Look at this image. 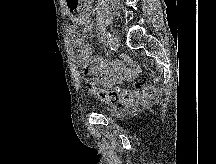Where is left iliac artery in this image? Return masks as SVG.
I'll use <instances>...</instances> for the list:
<instances>
[{"instance_id": "1", "label": "left iliac artery", "mask_w": 216, "mask_h": 164, "mask_svg": "<svg viewBox=\"0 0 216 164\" xmlns=\"http://www.w3.org/2000/svg\"><path fill=\"white\" fill-rule=\"evenodd\" d=\"M104 42L106 43L107 46H109V49L111 50L112 53L116 52L114 46L111 45V34L108 31H104Z\"/></svg>"}]
</instances>
